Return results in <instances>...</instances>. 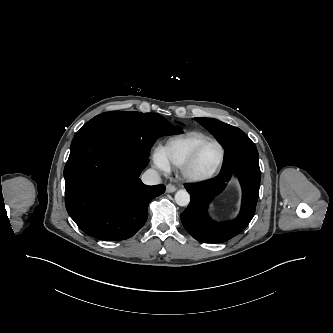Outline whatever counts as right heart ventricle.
Instances as JSON below:
<instances>
[{"label": "right heart ventricle", "mask_w": 333, "mask_h": 333, "mask_svg": "<svg viewBox=\"0 0 333 333\" xmlns=\"http://www.w3.org/2000/svg\"><path fill=\"white\" fill-rule=\"evenodd\" d=\"M207 138L208 135L198 131L172 136L159 147L158 152L170 168H181L195 147Z\"/></svg>", "instance_id": "right-heart-ventricle-1"}]
</instances>
